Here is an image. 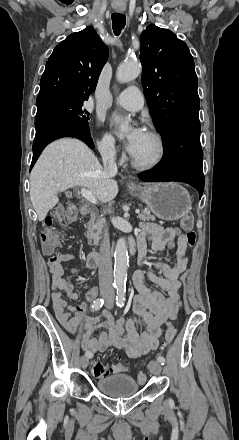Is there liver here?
<instances>
[{"mask_svg":"<svg viewBox=\"0 0 239 440\" xmlns=\"http://www.w3.org/2000/svg\"><path fill=\"white\" fill-rule=\"evenodd\" d=\"M106 174L92 150L74 138H61L43 150L30 174V200L39 222L59 202L57 194L68 188H88L99 202H112L118 194L116 180Z\"/></svg>","mask_w":239,"mask_h":440,"instance_id":"1","label":"liver"}]
</instances>
